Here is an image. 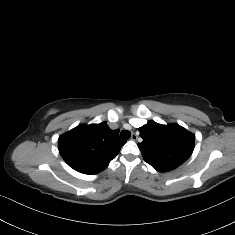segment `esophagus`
Instances as JSON below:
<instances>
[{
	"mask_svg": "<svg viewBox=\"0 0 235 235\" xmlns=\"http://www.w3.org/2000/svg\"><path fill=\"white\" fill-rule=\"evenodd\" d=\"M137 139H138V136L135 133H133L131 136V140L136 141Z\"/></svg>",
	"mask_w": 235,
	"mask_h": 235,
	"instance_id": "34e87169",
	"label": "esophagus"
}]
</instances>
